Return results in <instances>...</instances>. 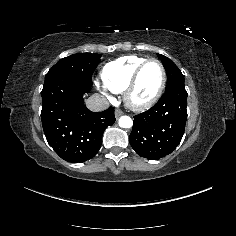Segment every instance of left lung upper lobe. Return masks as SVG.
<instances>
[{
  "instance_id": "5c2ea615",
  "label": "left lung upper lobe",
  "mask_w": 236,
  "mask_h": 236,
  "mask_svg": "<svg viewBox=\"0 0 236 236\" xmlns=\"http://www.w3.org/2000/svg\"><path fill=\"white\" fill-rule=\"evenodd\" d=\"M163 66L167 72V86L166 89L177 85H184V76L179 68L166 56L158 54Z\"/></svg>"
}]
</instances>
